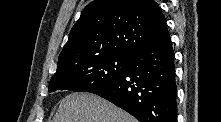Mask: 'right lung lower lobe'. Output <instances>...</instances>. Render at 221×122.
I'll use <instances>...</instances> for the list:
<instances>
[{
  "instance_id": "98d812e1",
  "label": "right lung lower lobe",
  "mask_w": 221,
  "mask_h": 122,
  "mask_svg": "<svg viewBox=\"0 0 221 122\" xmlns=\"http://www.w3.org/2000/svg\"><path fill=\"white\" fill-rule=\"evenodd\" d=\"M140 122H176L174 52L167 28L138 51L122 75L93 90Z\"/></svg>"
}]
</instances>
